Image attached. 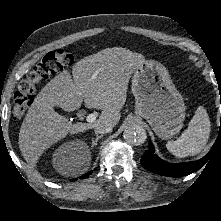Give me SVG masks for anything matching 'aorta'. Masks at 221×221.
I'll return each mask as SVG.
<instances>
[{
	"label": "aorta",
	"mask_w": 221,
	"mask_h": 221,
	"mask_svg": "<svg viewBox=\"0 0 221 221\" xmlns=\"http://www.w3.org/2000/svg\"><path fill=\"white\" fill-rule=\"evenodd\" d=\"M125 141L130 145H141L146 141V131L142 126L127 127L123 132Z\"/></svg>",
	"instance_id": "obj_1"
}]
</instances>
